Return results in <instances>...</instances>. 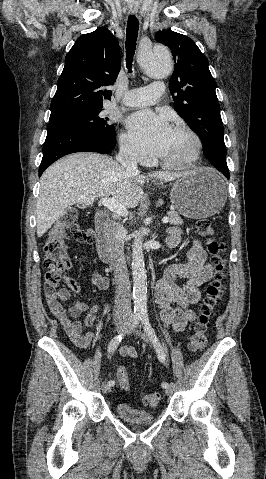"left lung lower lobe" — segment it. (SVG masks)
Listing matches in <instances>:
<instances>
[{"instance_id":"0a47b994","label":"left lung lower lobe","mask_w":266,"mask_h":479,"mask_svg":"<svg viewBox=\"0 0 266 479\" xmlns=\"http://www.w3.org/2000/svg\"><path fill=\"white\" fill-rule=\"evenodd\" d=\"M220 172H222L227 179H229V170L228 169H220L219 170Z\"/></svg>"}]
</instances>
